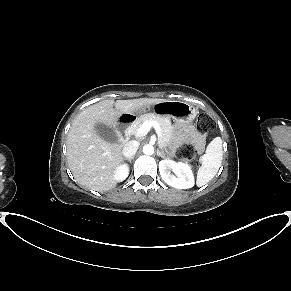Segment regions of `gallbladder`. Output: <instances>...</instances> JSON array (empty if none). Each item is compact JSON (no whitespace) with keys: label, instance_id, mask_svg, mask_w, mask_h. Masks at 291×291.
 <instances>
[{"label":"gallbladder","instance_id":"gallbladder-1","mask_svg":"<svg viewBox=\"0 0 291 291\" xmlns=\"http://www.w3.org/2000/svg\"><path fill=\"white\" fill-rule=\"evenodd\" d=\"M95 130L102 139L108 142H115L117 140V136L113 129L105 124H96Z\"/></svg>","mask_w":291,"mask_h":291}]
</instances>
